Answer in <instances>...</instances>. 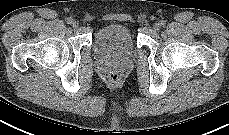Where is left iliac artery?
Listing matches in <instances>:
<instances>
[{
  "mask_svg": "<svg viewBox=\"0 0 229 135\" xmlns=\"http://www.w3.org/2000/svg\"><path fill=\"white\" fill-rule=\"evenodd\" d=\"M160 26L164 27L165 26V22L164 21H160Z\"/></svg>",
  "mask_w": 229,
  "mask_h": 135,
  "instance_id": "1",
  "label": "left iliac artery"
}]
</instances>
